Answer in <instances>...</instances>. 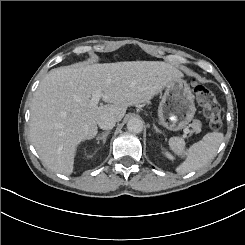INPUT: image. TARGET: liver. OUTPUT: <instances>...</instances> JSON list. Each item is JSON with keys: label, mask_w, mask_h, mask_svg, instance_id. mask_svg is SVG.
Segmentation results:
<instances>
[{"label": "liver", "mask_w": 245, "mask_h": 245, "mask_svg": "<svg viewBox=\"0 0 245 245\" xmlns=\"http://www.w3.org/2000/svg\"><path fill=\"white\" fill-rule=\"evenodd\" d=\"M181 71L163 61H122L69 65L52 69L32 100L30 136L45 167L69 175L75 146L97 134L101 114L120 121L131 104L150 100L164 82ZM104 92L105 105L92 108L89 98Z\"/></svg>", "instance_id": "obj_1"}]
</instances>
